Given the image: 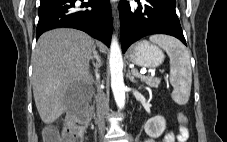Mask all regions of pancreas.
<instances>
[{
  "label": "pancreas",
  "instance_id": "pancreas-1",
  "mask_svg": "<svg viewBox=\"0 0 227 142\" xmlns=\"http://www.w3.org/2000/svg\"><path fill=\"white\" fill-rule=\"evenodd\" d=\"M142 82L146 83L149 87H158L160 84V79L157 77L137 75Z\"/></svg>",
  "mask_w": 227,
  "mask_h": 142
}]
</instances>
